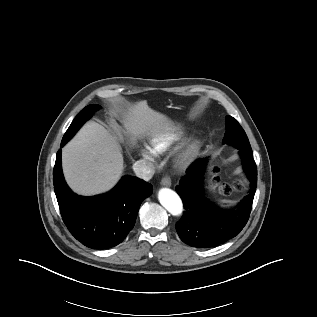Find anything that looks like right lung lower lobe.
Masks as SVG:
<instances>
[{"label":"right lung lower lobe","instance_id":"obj_1","mask_svg":"<svg viewBox=\"0 0 317 317\" xmlns=\"http://www.w3.org/2000/svg\"><path fill=\"white\" fill-rule=\"evenodd\" d=\"M66 142L62 141L61 146ZM54 191L63 221L71 234L91 249H109L121 243L132 230L142 201L152 185L124 176L108 193L79 196L66 184L61 168V149L53 171Z\"/></svg>","mask_w":317,"mask_h":317}]
</instances>
